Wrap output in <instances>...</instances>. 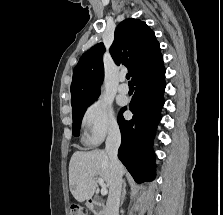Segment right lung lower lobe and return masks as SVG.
Instances as JSON below:
<instances>
[{"mask_svg":"<svg viewBox=\"0 0 223 215\" xmlns=\"http://www.w3.org/2000/svg\"><path fill=\"white\" fill-rule=\"evenodd\" d=\"M134 85L135 94L129 105L134 115L131 120H124V107L118 117L122 139L118 157L135 181L140 183L155 178V174H151L154 170L152 144L164 104V67L151 76L136 80Z\"/></svg>","mask_w":223,"mask_h":215,"instance_id":"98d812e1","label":"right lung lower lobe"}]
</instances>
